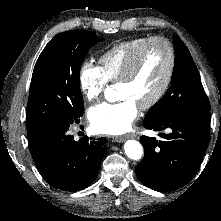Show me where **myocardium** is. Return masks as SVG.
Here are the masks:
<instances>
[{"label": "myocardium", "mask_w": 221, "mask_h": 221, "mask_svg": "<svg viewBox=\"0 0 221 221\" xmlns=\"http://www.w3.org/2000/svg\"><path fill=\"white\" fill-rule=\"evenodd\" d=\"M157 42L163 43L167 48L168 56H169L168 70H167V74L162 85L160 86L158 91L154 94V96L150 100H148L146 103L139 106L140 109L142 110H149L153 108L154 106H156L165 96V94L167 93L171 85L174 72H175V66H176V54H175V49H174L172 42L168 38L163 37V36H154V37L148 38L138 48V50L134 53V55L129 59L122 76L118 80L119 83H126V82L131 81L139 68V65H140V62H141V59L145 50L151 44H154Z\"/></svg>", "instance_id": "1"}]
</instances>
